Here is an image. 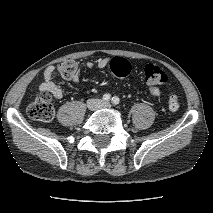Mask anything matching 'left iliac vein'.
Masks as SVG:
<instances>
[{
	"label": "left iliac vein",
	"instance_id": "left-iliac-vein-1",
	"mask_svg": "<svg viewBox=\"0 0 213 213\" xmlns=\"http://www.w3.org/2000/svg\"><path fill=\"white\" fill-rule=\"evenodd\" d=\"M102 107H106V108H108V107H110V104H109V103H107V102H104V103L102 104Z\"/></svg>",
	"mask_w": 213,
	"mask_h": 213
}]
</instances>
